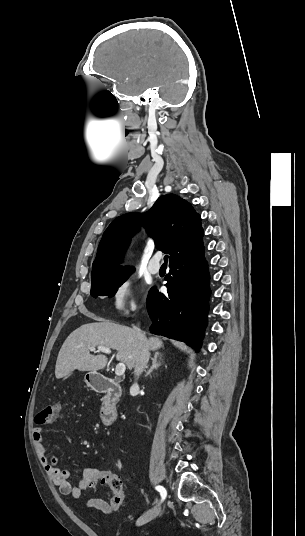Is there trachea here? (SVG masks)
I'll list each match as a JSON object with an SVG mask.
<instances>
[{
	"label": "trachea",
	"instance_id": "trachea-1",
	"mask_svg": "<svg viewBox=\"0 0 305 536\" xmlns=\"http://www.w3.org/2000/svg\"><path fill=\"white\" fill-rule=\"evenodd\" d=\"M167 261H168V255H165L164 256V262L167 263Z\"/></svg>",
	"mask_w": 305,
	"mask_h": 536
}]
</instances>
